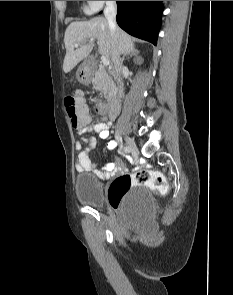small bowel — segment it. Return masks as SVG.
Wrapping results in <instances>:
<instances>
[{"label": "small bowel", "instance_id": "1", "mask_svg": "<svg viewBox=\"0 0 233 295\" xmlns=\"http://www.w3.org/2000/svg\"><path fill=\"white\" fill-rule=\"evenodd\" d=\"M111 122L109 120L97 123H89L86 126L76 128L77 132L81 135L93 131L101 139H107L109 137V129ZM87 145L82 147L80 143L76 144V148L79 150L78 160L76 164V170L78 172H93L99 179H109L116 172L123 170V166L120 162H107L101 169H95L92 163L89 152L95 146V138H85ZM117 146L115 140H110L107 143V149L109 151L114 150Z\"/></svg>", "mask_w": 233, "mask_h": 295}]
</instances>
